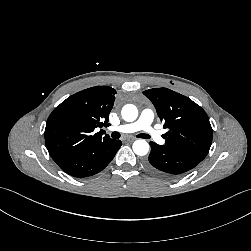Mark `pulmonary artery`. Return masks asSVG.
Segmentation results:
<instances>
[{
	"mask_svg": "<svg viewBox=\"0 0 251 251\" xmlns=\"http://www.w3.org/2000/svg\"><path fill=\"white\" fill-rule=\"evenodd\" d=\"M153 120V111L149 108H146L140 113L139 118L136 121L123 124L119 127L114 128L113 130L121 133H133L137 131H143L150 137V139L162 144L164 140L161 137L160 132L153 127Z\"/></svg>",
	"mask_w": 251,
	"mask_h": 251,
	"instance_id": "pulmonary-artery-1",
	"label": "pulmonary artery"
}]
</instances>
